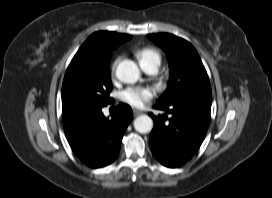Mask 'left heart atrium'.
I'll return each mask as SVG.
<instances>
[{
  "label": "left heart atrium",
  "mask_w": 272,
  "mask_h": 198,
  "mask_svg": "<svg viewBox=\"0 0 272 198\" xmlns=\"http://www.w3.org/2000/svg\"><path fill=\"white\" fill-rule=\"evenodd\" d=\"M155 95L152 88L149 87H133L124 90L121 94V99L123 102L140 108L145 103L149 102Z\"/></svg>",
  "instance_id": "1"
}]
</instances>
